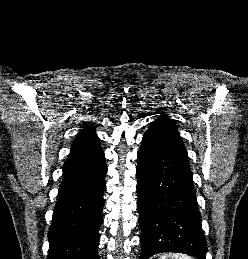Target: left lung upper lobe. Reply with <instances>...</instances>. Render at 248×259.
Returning a JSON list of instances; mask_svg holds the SVG:
<instances>
[{
  "instance_id": "left-lung-upper-lobe-1",
  "label": "left lung upper lobe",
  "mask_w": 248,
  "mask_h": 259,
  "mask_svg": "<svg viewBox=\"0 0 248 259\" xmlns=\"http://www.w3.org/2000/svg\"><path fill=\"white\" fill-rule=\"evenodd\" d=\"M143 140L166 148L188 162L187 151L176 126L167 116L159 117L153 121L146 131Z\"/></svg>"
}]
</instances>
